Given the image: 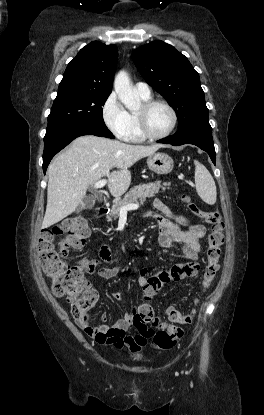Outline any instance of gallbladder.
<instances>
[{"instance_id": "obj_1", "label": "gallbladder", "mask_w": 264, "mask_h": 415, "mask_svg": "<svg viewBox=\"0 0 264 415\" xmlns=\"http://www.w3.org/2000/svg\"><path fill=\"white\" fill-rule=\"evenodd\" d=\"M94 204H95V201L91 197L85 196L82 202L77 207L76 212L79 213L84 209H90L94 206Z\"/></svg>"}]
</instances>
